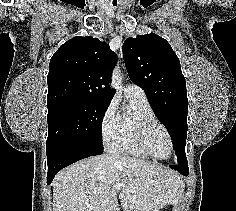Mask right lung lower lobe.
<instances>
[{
  "label": "right lung lower lobe",
  "mask_w": 236,
  "mask_h": 211,
  "mask_svg": "<svg viewBox=\"0 0 236 211\" xmlns=\"http://www.w3.org/2000/svg\"><path fill=\"white\" fill-rule=\"evenodd\" d=\"M103 153V148L86 142H55L47 144V184L62 168L89 156Z\"/></svg>",
  "instance_id": "right-lung-lower-lobe-1"
}]
</instances>
